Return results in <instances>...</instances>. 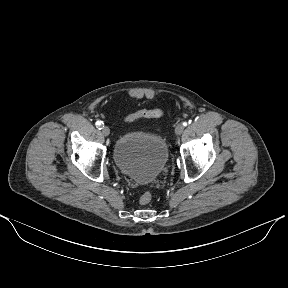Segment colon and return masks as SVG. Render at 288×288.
<instances>
[{
    "label": "colon",
    "instance_id": "5ec220e1",
    "mask_svg": "<svg viewBox=\"0 0 288 288\" xmlns=\"http://www.w3.org/2000/svg\"><path fill=\"white\" fill-rule=\"evenodd\" d=\"M164 114V110L162 109H143L139 110L135 113L128 115L125 118L126 122H133L141 118H158ZM152 195L150 192L143 193L139 198V203L142 205H147L151 202Z\"/></svg>",
    "mask_w": 288,
    "mask_h": 288
}]
</instances>
